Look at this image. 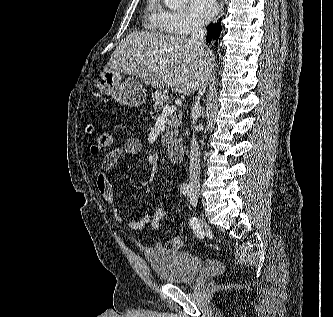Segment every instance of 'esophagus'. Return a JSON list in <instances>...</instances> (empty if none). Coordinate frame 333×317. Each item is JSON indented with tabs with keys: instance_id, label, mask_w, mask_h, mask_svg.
I'll list each match as a JSON object with an SVG mask.
<instances>
[{
	"instance_id": "esophagus-1",
	"label": "esophagus",
	"mask_w": 333,
	"mask_h": 317,
	"mask_svg": "<svg viewBox=\"0 0 333 317\" xmlns=\"http://www.w3.org/2000/svg\"><path fill=\"white\" fill-rule=\"evenodd\" d=\"M222 12H223V3L221 2L220 3V14H222Z\"/></svg>"
}]
</instances>
